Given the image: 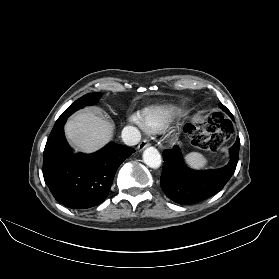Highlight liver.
Listing matches in <instances>:
<instances>
[{"instance_id":"liver-1","label":"liver","mask_w":279,"mask_h":279,"mask_svg":"<svg viewBox=\"0 0 279 279\" xmlns=\"http://www.w3.org/2000/svg\"><path fill=\"white\" fill-rule=\"evenodd\" d=\"M113 125L92 111L76 114L65 125L66 136L77 150L94 152L113 137Z\"/></svg>"}]
</instances>
